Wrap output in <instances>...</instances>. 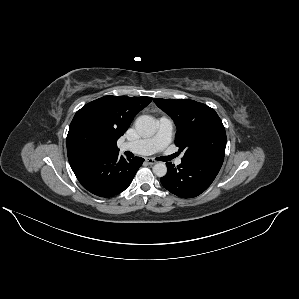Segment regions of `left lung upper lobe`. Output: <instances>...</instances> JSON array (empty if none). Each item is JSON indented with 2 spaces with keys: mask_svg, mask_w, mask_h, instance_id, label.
<instances>
[{
  "mask_svg": "<svg viewBox=\"0 0 299 299\" xmlns=\"http://www.w3.org/2000/svg\"><path fill=\"white\" fill-rule=\"evenodd\" d=\"M174 120L175 144L184 152L183 159L215 155L224 157L226 133L214 109L194 100L153 99Z\"/></svg>",
  "mask_w": 299,
  "mask_h": 299,
  "instance_id": "5c2ea615",
  "label": "left lung upper lobe"
}]
</instances>
